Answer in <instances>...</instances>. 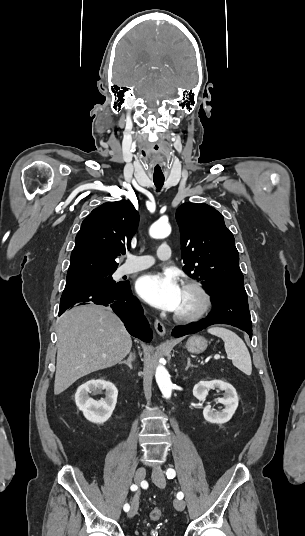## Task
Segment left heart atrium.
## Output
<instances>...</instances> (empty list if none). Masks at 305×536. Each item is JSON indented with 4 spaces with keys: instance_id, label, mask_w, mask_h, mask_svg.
<instances>
[{
    "instance_id": "left-heart-atrium-1",
    "label": "left heart atrium",
    "mask_w": 305,
    "mask_h": 536,
    "mask_svg": "<svg viewBox=\"0 0 305 536\" xmlns=\"http://www.w3.org/2000/svg\"><path fill=\"white\" fill-rule=\"evenodd\" d=\"M138 296L151 306L176 311L181 302L182 288L171 273H149L142 275L135 284Z\"/></svg>"
}]
</instances>
